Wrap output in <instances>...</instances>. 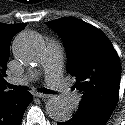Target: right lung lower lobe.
I'll return each instance as SVG.
<instances>
[{"instance_id":"98d812e1","label":"right lung lower lobe","mask_w":125,"mask_h":125,"mask_svg":"<svg viewBox=\"0 0 125 125\" xmlns=\"http://www.w3.org/2000/svg\"><path fill=\"white\" fill-rule=\"evenodd\" d=\"M33 100L30 92L14 93L0 99V125H20L24 112Z\"/></svg>"}]
</instances>
